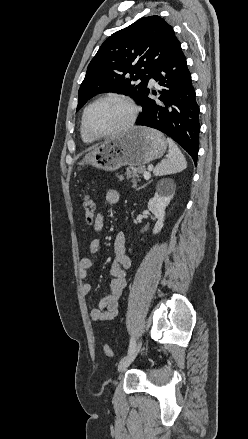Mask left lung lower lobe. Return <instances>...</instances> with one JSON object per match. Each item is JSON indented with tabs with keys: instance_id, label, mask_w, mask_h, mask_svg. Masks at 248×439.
<instances>
[{
	"instance_id": "0a47b994",
	"label": "left lung lower lobe",
	"mask_w": 248,
	"mask_h": 439,
	"mask_svg": "<svg viewBox=\"0 0 248 439\" xmlns=\"http://www.w3.org/2000/svg\"><path fill=\"white\" fill-rule=\"evenodd\" d=\"M151 78L161 86L158 100L151 99L146 88L141 101L142 113L137 125L155 128L174 139L192 157L195 164L199 148V106L180 42L177 41Z\"/></svg>"
}]
</instances>
